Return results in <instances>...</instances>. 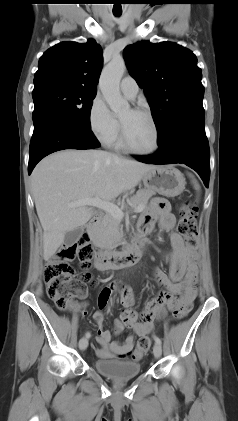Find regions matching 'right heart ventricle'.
Segmentation results:
<instances>
[{"instance_id":"right-heart-ventricle-1","label":"right heart ventricle","mask_w":238,"mask_h":421,"mask_svg":"<svg viewBox=\"0 0 238 421\" xmlns=\"http://www.w3.org/2000/svg\"><path fill=\"white\" fill-rule=\"evenodd\" d=\"M110 145H112L114 148L118 149V150H124V147L121 143L120 137H116V139L110 143Z\"/></svg>"}]
</instances>
